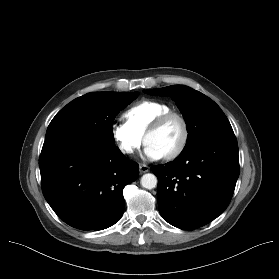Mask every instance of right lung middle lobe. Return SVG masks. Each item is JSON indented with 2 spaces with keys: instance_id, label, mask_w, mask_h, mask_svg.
<instances>
[{
  "instance_id": "obj_1",
  "label": "right lung middle lobe",
  "mask_w": 279,
  "mask_h": 279,
  "mask_svg": "<svg viewBox=\"0 0 279 279\" xmlns=\"http://www.w3.org/2000/svg\"><path fill=\"white\" fill-rule=\"evenodd\" d=\"M138 92H93L67 104L50 122L45 140L74 134L103 146H114L112 124L120 110L135 100Z\"/></svg>"
}]
</instances>
